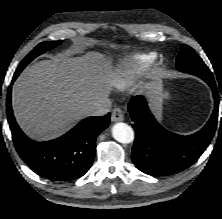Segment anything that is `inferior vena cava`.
Wrapping results in <instances>:
<instances>
[{
    "mask_svg": "<svg viewBox=\"0 0 222 219\" xmlns=\"http://www.w3.org/2000/svg\"><path fill=\"white\" fill-rule=\"evenodd\" d=\"M111 110V101L109 99L104 100L101 103H98L91 107L88 110L89 116H102L110 112Z\"/></svg>",
    "mask_w": 222,
    "mask_h": 219,
    "instance_id": "602c4592",
    "label": "inferior vena cava"
}]
</instances>
